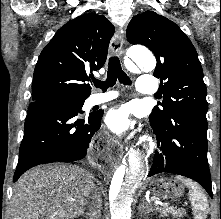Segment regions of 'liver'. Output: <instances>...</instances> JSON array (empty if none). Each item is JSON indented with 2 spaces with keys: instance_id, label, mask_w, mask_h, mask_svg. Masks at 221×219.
<instances>
[{
  "instance_id": "6515ba94",
  "label": "liver",
  "mask_w": 221,
  "mask_h": 219,
  "mask_svg": "<svg viewBox=\"0 0 221 219\" xmlns=\"http://www.w3.org/2000/svg\"><path fill=\"white\" fill-rule=\"evenodd\" d=\"M95 189L92 174L82 167L37 166L15 183L9 219H74Z\"/></svg>"
}]
</instances>
